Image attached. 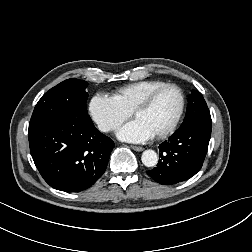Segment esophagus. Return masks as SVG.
<instances>
[{
	"label": "esophagus",
	"mask_w": 252,
	"mask_h": 252,
	"mask_svg": "<svg viewBox=\"0 0 252 252\" xmlns=\"http://www.w3.org/2000/svg\"><path fill=\"white\" fill-rule=\"evenodd\" d=\"M133 150L137 151V152H140V151H143V147H140V146H134V145H131L130 146Z\"/></svg>",
	"instance_id": "34e87169"
}]
</instances>
